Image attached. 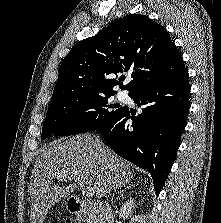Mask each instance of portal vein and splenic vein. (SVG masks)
I'll use <instances>...</instances> for the list:
<instances>
[{
  "mask_svg": "<svg viewBox=\"0 0 221 223\" xmlns=\"http://www.w3.org/2000/svg\"><path fill=\"white\" fill-rule=\"evenodd\" d=\"M68 180H71V181L74 180L78 185H80L81 187H84L83 182L76 176L71 175L70 177H68ZM83 193L87 197H92L94 195V189L90 186H86L83 190Z\"/></svg>",
  "mask_w": 221,
  "mask_h": 223,
  "instance_id": "portal-vein-and-splenic-vein-1",
  "label": "portal vein and splenic vein"
}]
</instances>
